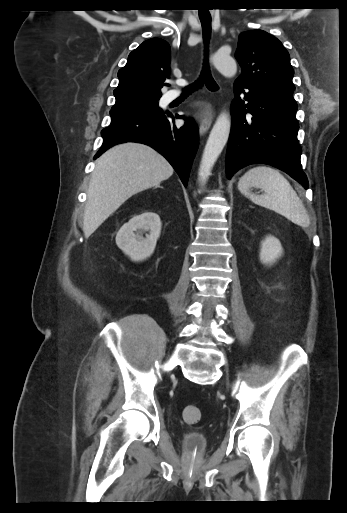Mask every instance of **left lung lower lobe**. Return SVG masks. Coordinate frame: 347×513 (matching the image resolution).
I'll return each mask as SVG.
<instances>
[{
	"mask_svg": "<svg viewBox=\"0 0 347 513\" xmlns=\"http://www.w3.org/2000/svg\"><path fill=\"white\" fill-rule=\"evenodd\" d=\"M293 90L234 84L226 156L228 178L246 165L263 163L281 169L308 188L300 163L302 149L297 140L299 124Z\"/></svg>",
	"mask_w": 347,
	"mask_h": 513,
	"instance_id": "obj_1",
	"label": "left lung lower lobe"
}]
</instances>
